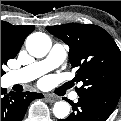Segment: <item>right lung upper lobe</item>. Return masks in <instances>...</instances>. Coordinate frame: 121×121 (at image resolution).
I'll return each instance as SVG.
<instances>
[{"label": "right lung upper lobe", "mask_w": 121, "mask_h": 121, "mask_svg": "<svg viewBox=\"0 0 121 121\" xmlns=\"http://www.w3.org/2000/svg\"><path fill=\"white\" fill-rule=\"evenodd\" d=\"M35 29L34 26H13L8 22L1 21V41L7 43L10 49L19 52L24 39Z\"/></svg>", "instance_id": "right-lung-upper-lobe-1"}]
</instances>
